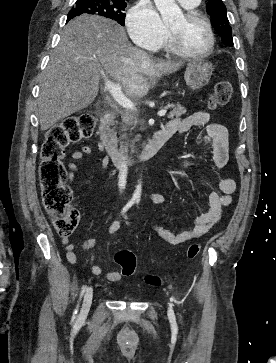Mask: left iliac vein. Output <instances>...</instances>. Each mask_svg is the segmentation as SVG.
<instances>
[{
  "label": "left iliac vein",
  "instance_id": "left-iliac-vein-1",
  "mask_svg": "<svg viewBox=\"0 0 276 363\" xmlns=\"http://www.w3.org/2000/svg\"><path fill=\"white\" fill-rule=\"evenodd\" d=\"M168 316H169V319L174 323L175 315H174V312H173V309L171 306H169V308H168Z\"/></svg>",
  "mask_w": 276,
  "mask_h": 363
}]
</instances>
